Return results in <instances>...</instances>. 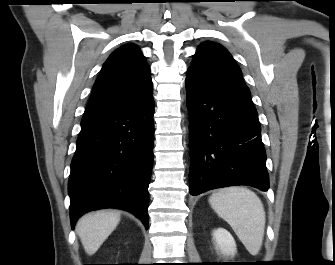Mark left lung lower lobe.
I'll return each instance as SVG.
<instances>
[{"label":"left lung lower lobe","instance_id":"left-lung-lower-lobe-1","mask_svg":"<svg viewBox=\"0 0 335 265\" xmlns=\"http://www.w3.org/2000/svg\"><path fill=\"white\" fill-rule=\"evenodd\" d=\"M186 93L191 113L190 194L234 185L267 191L266 152L250 95L193 69H188Z\"/></svg>","mask_w":335,"mask_h":265}]
</instances>
